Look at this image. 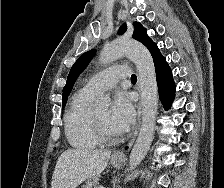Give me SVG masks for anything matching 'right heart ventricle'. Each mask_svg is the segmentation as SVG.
Wrapping results in <instances>:
<instances>
[{"label":"right heart ventricle","mask_w":224,"mask_h":188,"mask_svg":"<svg viewBox=\"0 0 224 188\" xmlns=\"http://www.w3.org/2000/svg\"><path fill=\"white\" fill-rule=\"evenodd\" d=\"M95 95L84 89L73 97L64 116L65 133L71 146L77 149H91L99 144L91 126L90 109Z\"/></svg>","instance_id":"1"}]
</instances>
